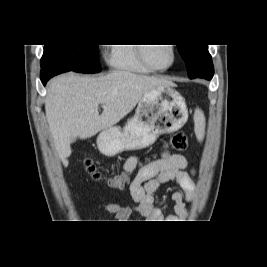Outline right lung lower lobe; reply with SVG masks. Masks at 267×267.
Listing matches in <instances>:
<instances>
[{"mask_svg": "<svg viewBox=\"0 0 267 267\" xmlns=\"http://www.w3.org/2000/svg\"><path fill=\"white\" fill-rule=\"evenodd\" d=\"M68 71H71V70L67 68L59 67V66H53V65L44 66V67H41L40 78H41L43 85L45 86L47 81L50 78L58 74L68 72Z\"/></svg>", "mask_w": 267, "mask_h": 267, "instance_id": "obj_1", "label": "right lung lower lobe"}]
</instances>
